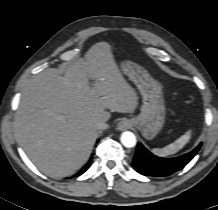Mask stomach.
Segmentation results:
<instances>
[{"label": "stomach", "instance_id": "1", "mask_svg": "<svg viewBox=\"0 0 218 210\" xmlns=\"http://www.w3.org/2000/svg\"><path fill=\"white\" fill-rule=\"evenodd\" d=\"M122 71L132 80L141 93V112L133 118V124L144 138L152 140L165 122L166 108L161 86L143 68L133 62L122 64Z\"/></svg>", "mask_w": 218, "mask_h": 210}]
</instances>
